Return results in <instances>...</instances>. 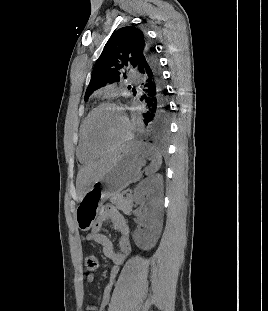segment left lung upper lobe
Here are the masks:
<instances>
[{"mask_svg":"<svg viewBox=\"0 0 268 311\" xmlns=\"http://www.w3.org/2000/svg\"><path fill=\"white\" fill-rule=\"evenodd\" d=\"M147 51L146 37L140 29L127 26L115 31L94 66L85 101L100 87L120 81L122 69L130 67L138 71L139 63L147 60Z\"/></svg>","mask_w":268,"mask_h":311,"instance_id":"obj_1","label":"left lung upper lobe"}]
</instances>
